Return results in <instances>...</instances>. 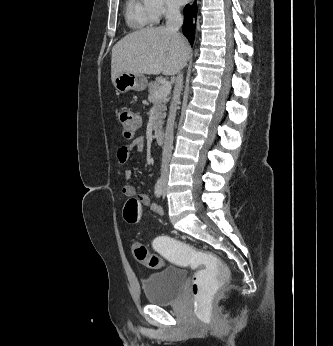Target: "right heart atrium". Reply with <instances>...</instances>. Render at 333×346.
Segmentation results:
<instances>
[{
  "instance_id": "right-heart-atrium-1",
  "label": "right heart atrium",
  "mask_w": 333,
  "mask_h": 346,
  "mask_svg": "<svg viewBox=\"0 0 333 346\" xmlns=\"http://www.w3.org/2000/svg\"><path fill=\"white\" fill-rule=\"evenodd\" d=\"M144 5L153 23L175 16L179 12L173 0H144Z\"/></svg>"
}]
</instances>
